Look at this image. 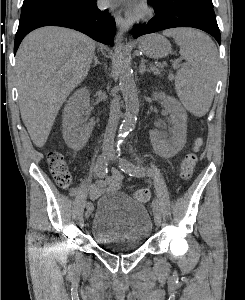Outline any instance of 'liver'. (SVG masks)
I'll use <instances>...</instances> for the list:
<instances>
[{
	"instance_id": "obj_1",
	"label": "liver",
	"mask_w": 245,
	"mask_h": 300,
	"mask_svg": "<svg viewBox=\"0 0 245 300\" xmlns=\"http://www.w3.org/2000/svg\"><path fill=\"white\" fill-rule=\"evenodd\" d=\"M95 42L77 31L42 27L28 34L16 54L22 121L33 143L45 145L70 93L87 76Z\"/></svg>"
}]
</instances>
